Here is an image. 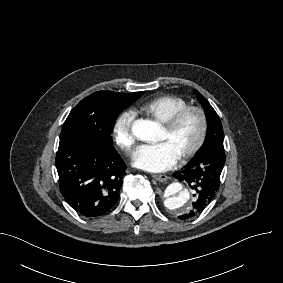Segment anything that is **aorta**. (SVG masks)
<instances>
[{"mask_svg":"<svg viewBox=\"0 0 283 283\" xmlns=\"http://www.w3.org/2000/svg\"><path fill=\"white\" fill-rule=\"evenodd\" d=\"M133 134L141 141H156L161 127L150 120H137L132 126ZM163 203L167 210L178 215L188 212L192 205L190 189L180 182H172L163 192Z\"/></svg>","mask_w":283,"mask_h":283,"instance_id":"762f6f07","label":"aorta"}]
</instances>
